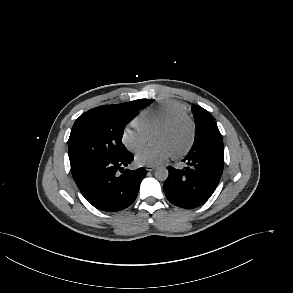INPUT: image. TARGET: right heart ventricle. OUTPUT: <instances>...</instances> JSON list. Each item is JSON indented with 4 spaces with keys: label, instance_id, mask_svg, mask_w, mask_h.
<instances>
[{
    "label": "right heart ventricle",
    "instance_id": "e07e8e85",
    "mask_svg": "<svg viewBox=\"0 0 293 293\" xmlns=\"http://www.w3.org/2000/svg\"><path fill=\"white\" fill-rule=\"evenodd\" d=\"M187 114L184 104L174 100H163L145 108L135 119L134 124L146 135L171 118Z\"/></svg>",
    "mask_w": 293,
    "mask_h": 293
}]
</instances>
